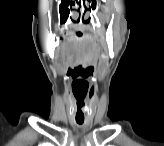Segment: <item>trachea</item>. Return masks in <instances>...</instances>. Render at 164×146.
Listing matches in <instances>:
<instances>
[{
	"instance_id": "obj_1",
	"label": "trachea",
	"mask_w": 164,
	"mask_h": 146,
	"mask_svg": "<svg viewBox=\"0 0 164 146\" xmlns=\"http://www.w3.org/2000/svg\"><path fill=\"white\" fill-rule=\"evenodd\" d=\"M78 124H82V122L78 121Z\"/></svg>"
}]
</instances>
